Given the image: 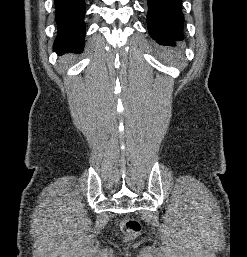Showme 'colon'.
<instances>
[{"instance_id": "colon-1", "label": "colon", "mask_w": 247, "mask_h": 257, "mask_svg": "<svg viewBox=\"0 0 247 257\" xmlns=\"http://www.w3.org/2000/svg\"><path fill=\"white\" fill-rule=\"evenodd\" d=\"M121 230L128 240L138 237L141 232V224L134 218H125L121 223Z\"/></svg>"}]
</instances>
